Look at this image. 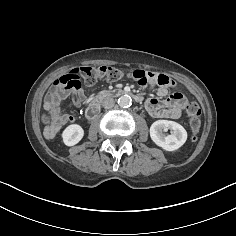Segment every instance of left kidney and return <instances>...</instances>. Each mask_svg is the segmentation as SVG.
<instances>
[{
    "label": "left kidney",
    "instance_id": "obj_1",
    "mask_svg": "<svg viewBox=\"0 0 236 236\" xmlns=\"http://www.w3.org/2000/svg\"><path fill=\"white\" fill-rule=\"evenodd\" d=\"M168 129L172 133L165 135ZM150 137L152 141L166 151L179 149L187 140V132L182 125L169 120H157L150 127Z\"/></svg>",
    "mask_w": 236,
    "mask_h": 236
}]
</instances>
